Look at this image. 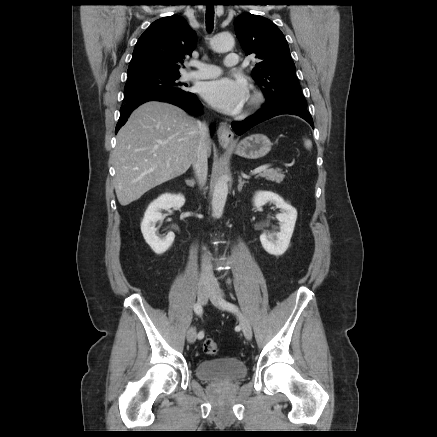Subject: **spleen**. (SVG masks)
Segmentation results:
<instances>
[{
	"label": "spleen",
	"instance_id": "3e777b00",
	"mask_svg": "<svg viewBox=\"0 0 437 437\" xmlns=\"http://www.w3.org/2000/svg\"><path fill=\"white\" fill-rule=\"evenodd\" d=\"M304 146H305L307 149H311V148H312V142H311V140H309V139H305V141H304Z\"/></svg>",
	"mask_w": 437,
	"mask_h": 437
}]
</instances>
